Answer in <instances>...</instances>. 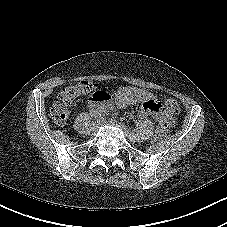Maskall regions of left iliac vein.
I'll return each mask as SVG.
<instances>
[{
	"instance_id": "left-iliac-vein-1",
	"label": "left iliac vein",
	"mask_w": 227,
	"mask_h": 227,
	"mask_svg": "<svg viewBox=\"0 0 227 227\" xmlns=\"http://www.w3.org/2000/svg\"><path fill=\"white\" fill-rule=\"evenodd\" d=\"M120 127H121V129L124 131V134H125V136H126L127 138H129V139L132 140V141H136V140H137L135 137H133V135H132L133 133H132L131 131H129V130L126 128V126L120 124Z\"/></svg>"
}]
</instances>
